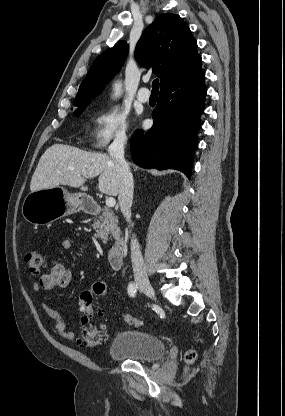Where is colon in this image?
Returning a JSON list of instances; mask_svg holds the SVG:
<instances>
[{
	"mask_svg": "<svg viewBox=\"0 0 285 416\" xmlns=\"http://www.w3.org/2000/svg\"><path fill=\"white\" fill-rule=\"evenodd\" d=\"M25 262L30 272L37 275L43 268L45 259L44 255L38 250H29L25 254ZM107 293V287L104 282H94L89 289L84 290L79 299V312L81 315V329L79 343L84 347H98L106 342L107 334L105 328L97 324L96 316L100 311L94 307V299ZM125 322L134 327H141L143 320L130 316H124ZM195 353L189 352L186 355V361L192 363L195 360Z\"/></svg>",
	"mask_w": 285,
	"mask_h": 416,
	"instance_id": "1",
	"label": "colon"
}]
</instances>
